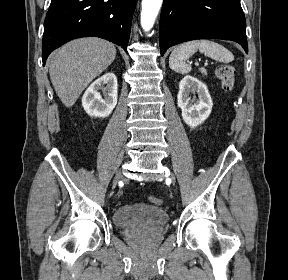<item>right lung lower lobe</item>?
Wrapping results in <instances>:
<instances>
[{
    "mask_svg": "<svg viewBox=\"0 0 288 280\" xmlns=\"http://www.w3.org/2000/svg\"><path fill=\"white\" fill-rule=\"evenodd\" d=\"M137 0H52L44 21L43 65L49 54L79 37H100L126 50Z\"/></svg>",
    "mask_w": 288,
    "mask_h": 280,
    "instance_id": "1",
    "label": "right lung lower lobe"
}]
</instances>
